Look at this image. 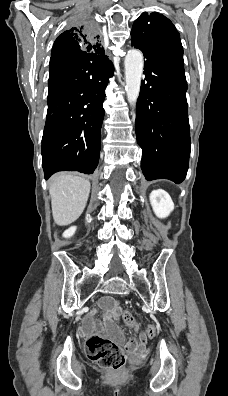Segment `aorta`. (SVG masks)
<instances>
[{
  "instance_id": "aorta-1",
  "label": "aorta",
  "mask_w": 228,
  "mask_h": 396,
  "mask_svg": "<svg viewBox=\"0 0 228 396\" xmlns=\"http://www.w3.org/2000/svg\"><path fill=\"white\" fill-rule=\"evenodd\" d=\"M124 63L127 99L131 105L135 106L140 92L143 73V55L139 50H129Z\"/></svg>"
}]
</instances>
